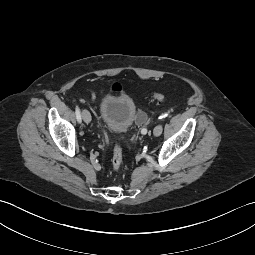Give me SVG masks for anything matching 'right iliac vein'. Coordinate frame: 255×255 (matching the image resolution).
Wrapping results in <instances>:
<instances>
[{
	"label": "right iliac vein",
	"mask_w": 255,
	"mask_h": 255,
	"mask_svg": "<svg viewBox=\"0 0 255 255\" xmlns=\"http://www.w3.org/2000/svg\"><path fill=\"white\" fill-rule=\"evenodd\" d=\"M82 118L84 122L87 124L91 122V115L87 110L82 111Z\"/></svg>",
	"instance_id": "63e3f726"
}]
</instances>
